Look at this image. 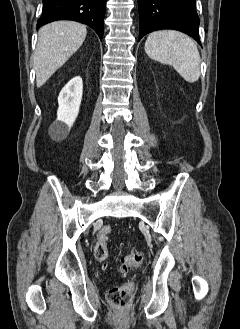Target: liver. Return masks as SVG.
<instances>
[{"instance_id": "liver-1", "label": "liver", "mask_w": 240, "mask_h": 329, "mask_svg": "<svg viewBox=\"0 0 240 329\" xmlns=\"http://www.w3.org/2000/svg\"><path fill=\"white\" fill-rule=\"evenodd\" d=\"M86 35V27L73 21H56L40 29L34 53L38 88L81 47Z\"/></svg>"}]
</instances>
